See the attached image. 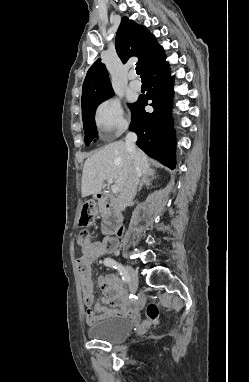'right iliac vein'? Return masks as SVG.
<instances>
[{
	"label": "right iliac vein",
	"instance_id": "right-iliac-vein-1",
	"mask_svg": "<svg viewBox=\"0 0 249 382\" xmlns=\"http://www.w3.org/2000/svg\"><path fill=\"white\" fill-rule=\"evenodd\" d=\"M126 268L129 274V288L133 292L136 290L138 285V274L130 265H127Z\"/></svg>",
	"mask_w": 249,
	"mask_h": 382
}]
</instances>
